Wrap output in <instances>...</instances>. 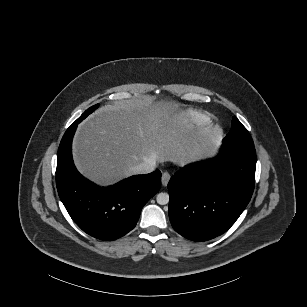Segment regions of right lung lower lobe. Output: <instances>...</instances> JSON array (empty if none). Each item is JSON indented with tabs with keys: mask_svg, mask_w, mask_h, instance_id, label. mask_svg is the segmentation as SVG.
I'll return each instance as SVG.
<instances>
[{
	"mask_svg": "<svg viewBox=\"0 0 307 307\" xmlns=\"http://www.w3.org/2000/svg\"><path fill=\"white\" fill-rule=\"evenodd\" d=\"M83 119L79 117L61 140L56 170L58 194L83 231L100 240H115L135 227L142 207L160 189L161 172L136 175L107 188L84 178L72 159V139Z\"/></svg>",
	"mask_w": 307,
	"mask_h": 307,
	"instance_id": "obj_1",
	"label": "right lung lower lobe"
}]
</instances>
